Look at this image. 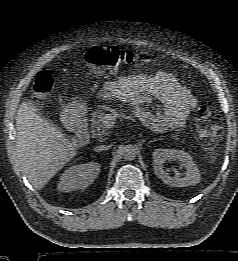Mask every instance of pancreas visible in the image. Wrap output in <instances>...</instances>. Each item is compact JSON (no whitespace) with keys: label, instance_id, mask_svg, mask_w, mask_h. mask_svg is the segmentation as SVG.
Segmentation results:
<instances>
[{"label":"pancreas","instance_id":"obj_1","mask_svg":"<svg viewBox=\"0 0 238 261\" xmlns=\"http://www.w3.org/2000/svg\"><path fill=\"white\" fill-rule=\"evenodd\" d=\"M105 112L102 111L100 108L96 109L92 113V124H91V132L92 134L98 136H104L108 134L107 127L103 124V117L105 116ZM172 138L178 139L176 135H172Z\"/></svg>","mask_w":238,"mask_h":261}]
</instances>
